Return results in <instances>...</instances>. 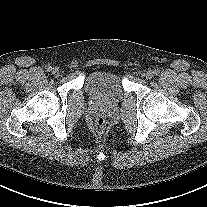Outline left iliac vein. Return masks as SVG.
<instances>
[{
    "label": "left iliac vein",
    "mask_w": 207,
    "mask_h": 207,
    "mask_svg": "<svg viewBox=\"0 0 207 207\" xmlns=\"http://www.w3.org/2000/svg\"><path fill=\"white\" fill-rule=\"evenodd\" d=\"M153 76H154V73L151 70L147 71L145 74L146 79H151Z\"/></svg>",
    "instance_id": "1"
}]
</instances>
